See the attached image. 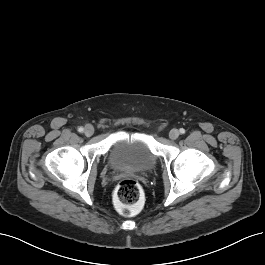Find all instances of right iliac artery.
Returning a JSON list of instances; mask_svg holds the SVG:
<instances>
[{"mask_svg": "<svg viewBox=\"0 0 265 265\" xmlns=\"http://www.w3.org/2000/svg\"><path fill=\"white\" fill-rule=\"evenodd\" d=\"M78 131H79V132H83L84 129H83L82 127H79V128H78Z\"/></svg>", "mask_w": 265, "mask_h": 265, "instance_id": "1", "label": "right iliac artery"}]
</instances>
